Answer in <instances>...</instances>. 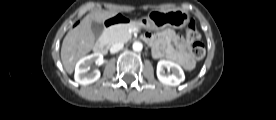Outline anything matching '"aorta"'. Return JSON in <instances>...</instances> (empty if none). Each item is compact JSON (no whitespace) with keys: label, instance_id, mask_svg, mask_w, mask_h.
<instances>
[{"label":"aorta","instance_id":"1","mask_svg":"<svg viewBox=\"0 0 276 120\" xmlns=\"http://www.w3.org/2000/svg\"><path fill=\"white\" fill-rule=\"evenodd\" d=\"M133 50L134 51H136V52H140V51H142V49H143V44L141 43V42H139V41H135L134 43H133Z\"/></svg>","mask_w":276,"mask_h":120}]
</instances>
